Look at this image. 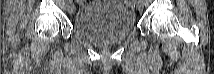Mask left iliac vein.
<instances>
[{
	"label": "left iliac vein",
	"instance_id": "1",
	"mask_svg": "<svg viewBox=\"0 0 214 74\" xmlns=\"http://www.w3.org/2000/svg\"><path fill=\"white\" fill-rule=\"evenodd\" d=\"M136 8H137L138 10H140V9L142 8V3H141V1H137V3H136Z\"/></svg>",
	"mask_w": 214,
	"mask_h": 74
}]
</instances>
